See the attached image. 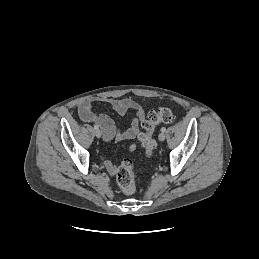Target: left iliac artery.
<instances>
[{
    "mask_svg": "<svg viewBox=\"0 0 259 259\" xmlns=\"http://www.w3.org/2000/svg\"><path fill=\"white\" fill-rule=\"evenodd\" d=\"M166 131V128L165 127H162L161 128V132H165Z\"/></svg>",
    "mask_w": 259,
    "mask_h": 259,
    "instance_id": "1",
    "label": "left iliac artery"
}]
</instances>
